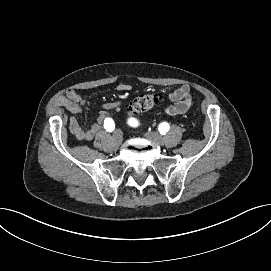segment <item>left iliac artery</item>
Segmentation results:
<instances>
[{
	"instance_id": "left-iliac-artery-1",
	"label": "left iliac artery",
	"mask_w": 271,
	"mask_h": 271,
	"mask_svg": "<svg viewBox=\"0 0 271 271\" xmlns=\"http://www.w3.org/2000/svg\"><path fill=\"white\" fill-rule=\"evenodd\" d=\"M128 123L131 125V126H134V127H136L137 125H138V121L136 120V119H134V118H130L129 120H128ZM158 131L160 132V133H167L168 131H169V124L167 123V122H160L159 124H158Z\"/></svg>"
}]
</instances>
